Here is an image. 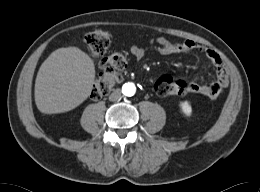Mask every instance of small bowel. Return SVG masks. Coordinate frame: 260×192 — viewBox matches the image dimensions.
<instances>
[{
  "mask_svg": "<svg viewBox=\"0 0 260 192\" xmlns=\"http://www.w3.org/2000/svg\"><path fill=\"white\" fill-rule=\"evenodd\" d=\"M149 50L160 55L168 56L174 54H189L192 52L203 53L214 65L216 78L211 83H202L197 80H191L188 83L190 93L200 94L210 99H216L229 85V72L217 52L208 46H205L194 40H185L182 42L170 41L164 37H158L149 41ZM147 48L132 46L131 55L136 60H141L146 56Z\"/></svg>",
  "mask_w": 260,
  "mask_h": 192,
  "instance_id": "c3829d8e",
  "label": "small bowel"
}]
</instances>
